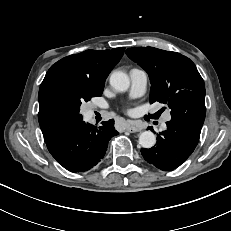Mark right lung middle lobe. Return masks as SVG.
Segmentation results:
<instances>
[{
	"instance_id": "dd1d6c3e",
	"label": "right lung middle lobe",
	"mask_w": 231,
	"mask_h": 231,
	"mask_svg": "<svg viewBox=\"0 0 231 231\" xmlns=\"http://www.w3.org/2000/svg\"><path fill=\"white\" fill-rule=\"evenodd\" d=\"M103 88V86L94 87L89 84H76L64 90L62 100L82 120V115L79 113L82 102H88L92 97L101 96Z\"/></svg>"
}]
</instances>
